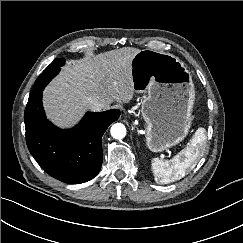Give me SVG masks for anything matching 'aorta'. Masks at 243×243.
Wrapping results in <instances>:
<instances>
[{"instance_id":"1","label":"aorta","mask_w":243,"mask_h":243,"mask_svg":"<svg viewBox=\"0 0 243 243\" xmlns=\"http://www.w3.org/2000/svg\"><path fill=\"white\" fill-rule=\"evenodd\" d=\"M111 135L114 139H123L126 136V127L122 123H116L111 127Z\"/></svg>"}]
</instances>
